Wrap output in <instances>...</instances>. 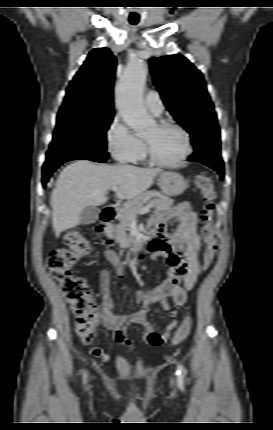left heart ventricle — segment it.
<instances>
[{"label":"left heart ventricle","instance_id":"obj_1","mask_svg":"<svg viewBox=\"0 0 273 430\" xmlns=\"http://www.w3.org/2000/svg\"><path fill=\"white\" fill-rule=\"evenodd\" d=\"M144 138L151 144L155 156L162 161L178 159L185 148L182 134L175 129H159L153 125Z\"/></svg>","mask_w":273,"mask_h":430}]
</instances>
